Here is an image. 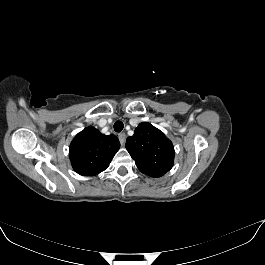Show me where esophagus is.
I'll return each mask as SVG.
<instances>
[{"label": "esophagus", "instance_id": "34e87169", "mask_svg": "<svg viewBox=\"0 0 265 265\" xmlns=\"http://www.w3.org/2000/svg\"><path fill=\"white\" fill-rule=\"evenodd\" d=\"M118 138H119V141H120L121 145H124L125 140H126V134L125 133H120Z\"/></svg>", "mask_w": 265, "mask_h": 265}]
</instances>
